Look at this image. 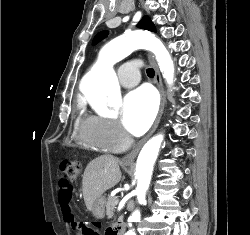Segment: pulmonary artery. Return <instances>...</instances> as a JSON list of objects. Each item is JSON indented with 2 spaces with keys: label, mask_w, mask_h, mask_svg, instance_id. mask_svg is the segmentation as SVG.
Wrapping results in <instances>:
<instances>
[{
  "label": "pulmonary artery",
  "mask_w": 250,
  "mask_h": 235,
  "mask_svg": "<svg viewBox=\"0 0 250 235\" xmlns=\"http://www.w3.org/2000/svg\"><path fill=\"white\" fill-rule=\"evenodd\" d=\"M119 81L126 88L135 86L140 81V66L132 61L121 65Z\"/></svg>",
  "instance_id": "1"
}]
</instances>
